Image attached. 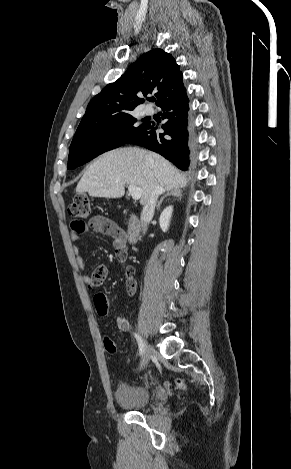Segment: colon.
<instances>
[{"instance_id": "1", "label": "colon", "mask_w": 291, "mask_h": 469, "mask_svg": "<svg viewBox=\"0 0 291 469\" xmlns=\"http://www.w3.org/2000/svg\"><path fill=\"white\" fill-rule=\"evenodd\" d=\"M69 214L72 217H75L77 219H86L90 216L91 214V206H90V201L86 195L83 194H78L73 198V201L71 205L69 206ZM126 251L122 250L119 251L117 254V259L119 261L123 262V259L125 257ZM124 275L125 278L128 282V284L133 288L134 287V282H133V276H134V268L130 265H124ZM92 303L95 306L94 310L97 313H102L101 317L103 319H106L108 317V314L106 312H109L111 310V307L109 306L111 303V298L109 293H104L102 290H97L95 292V296L92 298ZM103 343L106 351L108 353H115L116 352V345L113 342V340L105 335L103 337ZM177 386L180 389H185L186 385L183 380L178 379L177 380Z\"/></svg>"}]
</instances>
